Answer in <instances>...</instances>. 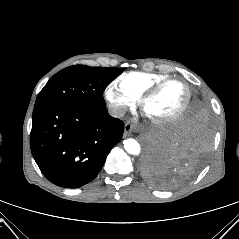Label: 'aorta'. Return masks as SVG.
<instances>
[{
	"instance_id": "aorta-1",
	"label": "aorta",
	"mask_w": 239,
	"mask_h": 239,
	"mask_svg": "<svg viewBox=\"0 0 239 239\" xmlns=\"http://www.w3.org/2000/svg\"><path fill=\"white\" fill-rule=\"evenodd\" d=\"M125 151L133 156H137L141 152L140 144L133 138H128L123 141Z\"/></svg>"
}]
</instances>
